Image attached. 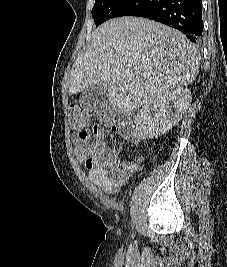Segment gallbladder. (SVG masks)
<instances>
[{"label": "gallbladder", "instance_id": "obj_1", "mask_svg": "<svg viewBox=\"0 0 227 267\" xmlns=\"http://www.w3.org/2000/svg\"><path fill=\"white\" fill-rule=\"evenodd\" d=\"M109 93L110 91L107 85H94L81 93L79 103L86 111H100L106 105Z\"/></svg>", "mask_w": 227, "mask_h": 267}]
</instances>
